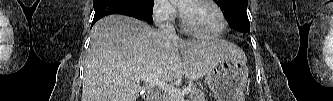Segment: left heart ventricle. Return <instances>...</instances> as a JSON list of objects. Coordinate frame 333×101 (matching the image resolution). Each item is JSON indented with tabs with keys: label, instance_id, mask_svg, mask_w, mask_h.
<instances>
[{
	"label": "left heart ventricle",
	"instance_id": "obj_1",
	"mask_svg": "<svg viewBox=\"0 0 333 101\" xmlns=\"http://www.w3.org/2000/svg\"><path fill=\"white\" fill-rule=\"evenodd\" d=\"M189 25L196 31L211 34L220 29L221 21L216 10L207 3L184 2Z\"/></svg>",
	"mask_w": 333,
	"mask_h": 101
}]
</instances>
